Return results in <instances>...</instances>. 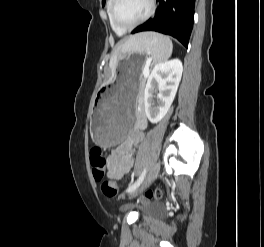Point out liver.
Masks as SVG:
<instances>
[{
	"instance_id": "1",
	"label": "liver",
	"mask_w": 264,
	"mask_h": 247,
	"mask_svg": "<svg viewBox=\"0 0 264 247\" xmlns=\"http://www.w3.org/2000/svg\"><path fill=\"white\" fill-rule=\"evenodd\" d=\"M141 35H142V34H137V35H135V36H133V37H130L129 40H128L125 44H123L119 49H121L122 52H124L125 49H127V48L130 46V44H131L135 39H137L138 37H140ZM116 63H117V58H116V57L113 58V59L110 61V67L112 68V71H114V68H115Z\"/></svg>"
}]
</instances>
